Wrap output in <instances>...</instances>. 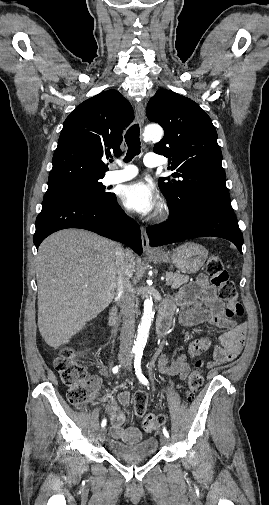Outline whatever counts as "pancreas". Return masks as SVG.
Masks as SVG:
<instances>
[{
  "label": "pancreas",
  "mask_w": 269,
  "mask_h": 505,
  "mask_svg": "<svg viewBox=\"0 0 269 505\" xmlns=\"http://www.w3.org/2000/svg\"><path fill=\"white\" fill-rule=\"evenodd\" d=\"M167 285H170L172 289H177L189 281V277L179 274V273H166Z\"/></svg>",
  "instance_id": "obj_1"
}]
</instances>
